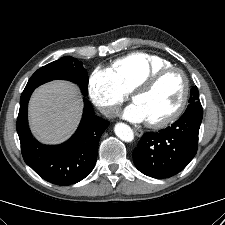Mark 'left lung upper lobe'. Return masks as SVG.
Masks as SVG:
<instances>
[{
    "label": "left lung upper lobe",
    "instance_id": "1",
    "mask_svg": "<svg viewBox=\"0 0 225 225\" xmlns=\"http://www.w3.org/2000/svg\"><path fill=\"white\" fill-rule=\"evenodd\" d=\"M189 105L191 104H199L200 101H199V92H198V89L196 86H194L192 89H191V96H190V99H189Z\"/></svg>",
    "mask_w": 225,
    "mask_h": 225
}]
</instances>
